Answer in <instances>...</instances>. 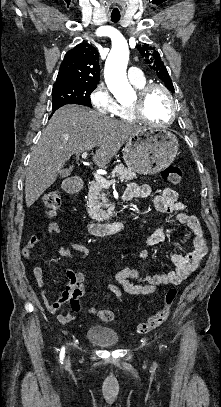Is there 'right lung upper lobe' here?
Segmentation results:
<instances>
[{
    "mask_svg": "<svg viewBox=\"0 0 221 407\" xmlns=\"http://www.w3.org/2000/svg\"><path fill=\"white\" fill-rule=\"evenodd\" d=\"M99 78L98 51L89 44L81 43L66 53L53 88L69 84L97 85Z\"/></svg>",
    "mask_w": 221,
    "mask_h": 407,
    "instance_id": "cb5924a9",
    "label": "right lung upper lobe"
}]
</instances>
